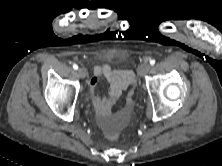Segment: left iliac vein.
<instances>
[{
  "label": "left iliac vein",
  "mask_w": 222,
  "mask_h": 166,
  "mask_svg": "<svg viewBox=\"0 0 222 166\" xmlns=\"http://www.w3.org/2000/svg\"><path fill=\"white\" fill-rule=\"evenodd\" d=\"M151 69L150 64L148 63H143L140 67H139V74L140 76H144L145 74H147Z\"/></svg>",
  "instance_id": "1"
}]
</instances>
